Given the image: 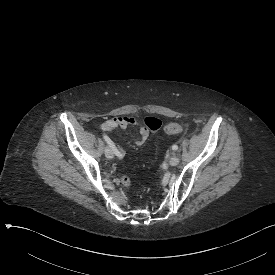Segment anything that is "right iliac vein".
I'll return each mask as SVG.
<instances>
[{
	"label": "right iliac vein",
	"mask_w": 275,
	"mask_h": 275,
	"mask_svg": "<svg viewBox=\"0 0 275 275\" xmlns=\"http://www.w3.org/2000/svg\"><path fill=\"white\" fill-rule=\"evenodd\" d=\"M105 155L108 159H113L114 155H113V151L111 149L110 146H107L106 149H105Z\"/></svg>",
	"instance_id": "obj_1"
}]
</instances>
